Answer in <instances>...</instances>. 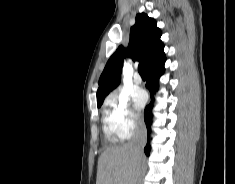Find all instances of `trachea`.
<instances>
[{
  "mask_svg": "<svg viewBox=\"0 0 235 184\" xmlns=\"http://www.w3.org/2000/svg\"><path fill=\"white\" fill-rule=\"evenodd\" d=\"M138 71L141 75V77H146V71H145V65L143 62H140L139 66H138Z\"/></svg>",
  "mask_w": 235,
  "mask_h": 184,
  "instance_id": "3493384b",
  "label": "trachea"
}]
</instances>
